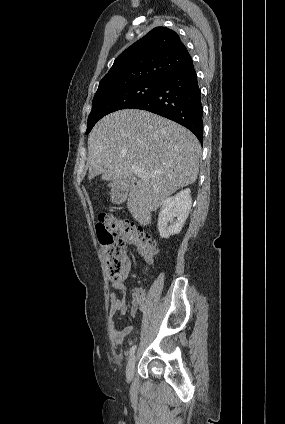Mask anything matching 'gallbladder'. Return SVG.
<instances>
[{
  "label": "gallbladder",
  "mask_w": 285,
  "mask_h": 424,
  "mask_svg": "<svg viewBox=\"0 0 285 424\" xmlns=\"http://www.w3.org/2000/svg\"><path fill=\"white\" fill-rule=\"evenodd\" d=\"M131 181L128 179H118L113 181L112 183H110L109 188H110V192L108 193L109 195H112L113 192H115L116 190H118L119 188H121L122 190H125L129 187Z\"/></svg>",
  "instance_id": "obj_1"
}]
</instances>
